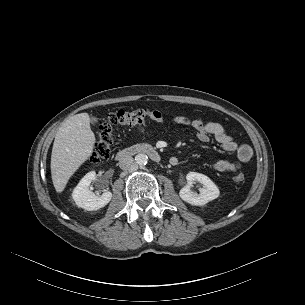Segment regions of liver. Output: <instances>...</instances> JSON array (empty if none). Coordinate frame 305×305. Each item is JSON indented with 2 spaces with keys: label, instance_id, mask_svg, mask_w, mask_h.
Listing matches in <instances>:
<instances>
[{
  "label": "liver",
  "instance_id": "1",
  "mask_svg": "<svg viewBox=\"0 0 305 305\" xmlns=\"http://www.w3.org/2000/svg\"><path fill=\"white\" fill-rule=\"evenodd\" d=\"M94 143L88 113L76 114L62 124L51 154V176L56 192L65 189L70 177L92 155Z\"/></svg>",
  "mask_w": 305,
  "mask_h": 305
}]
</instances>
